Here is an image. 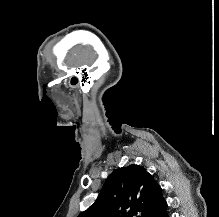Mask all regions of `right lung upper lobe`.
<instances>
[{"instance_id":"obj_1","label":"right lung upper lobe","mask_w":219,"mask_h":217,"mask_svg":"<svg viewBox=\"0 0 219 217\" xmlns=\"http://www.w3.org/2000/svg\"><path fill=\"white\" fill-rule=\"evenodd\" d=\"M166 209L152 175L132 164L114 170L94 204L78 217H160Z\"/></svg>"}]
</instances>
